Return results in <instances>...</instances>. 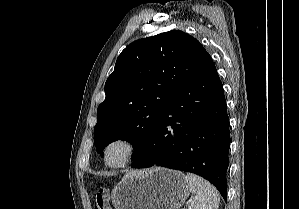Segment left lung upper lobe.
<instances>
[{
	"instance_id": "5c2ea615",
	"label": "left lung upper lobe",
	"mask_w": 299,
	"mask_h": 209,
	"mask_svg": "<svg viewBox=\"0 0 299 209\" xmlns=\"http://www.w3.org/2000/svg\"><path fill=\"white\" fill-rule=\"evenodd\" d=\"M192 36L172 30L129 44L105 83L106 98L97 109L94 144L103 149L123 139L144 149L172 96L210 61Z\"/></svg>"
}]
</instances>
